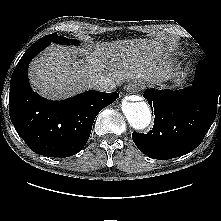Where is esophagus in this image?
I'll return each mask as SVG.
<instances>
[{
    "mask_svg": "<svg viewBox=\"0 0 221 221\" xmlns=\"http://www.w3.org/2000/svg\"><path fill=\"white\" fill-rule=\"evenodd\" d=\"M140 87H141V84L137 81H134L128 85L127 89L137 91L140 89Z\"/></svg>",
    "mask_w": 221,
    "mask_h": 221,
    "instance_id": "esophagus-1",
    "label": "esophagus"
}]
</instances>
